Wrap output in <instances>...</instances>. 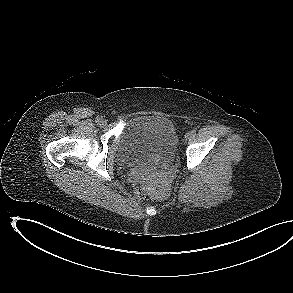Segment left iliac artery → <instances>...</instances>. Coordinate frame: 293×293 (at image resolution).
<instances>
[{
	"label": "left iliac artery",
	"instance_id": "44dca946",
	"mask_svg": "<svg viewBox=\"0 0 293 293\" xmlns=\"http://www.w3.org/2000/svg\"><path fill=\"white\" fill-rule=\"evenodd\" d=\"M191 135H195L196 134V129H193L190 131Z\"/></svg>",
	"mask_w": 293,
	"mask_h": 293
}]
</instances>
